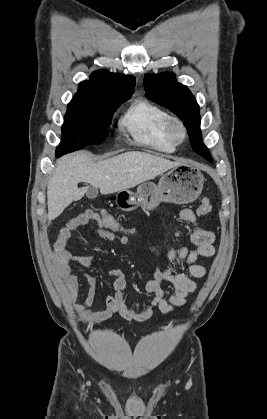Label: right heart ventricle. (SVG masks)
I'll list each match as a JSON object with an SVG mask.
<instances>
[{
    "instance_id": "e07e8e85",
    "label": "right heart ventricle",
    "mask_w": 267,
    "mask_h": 419,
    "mask_svg": "<svg viewBox=\"0 0 267 419\" xmlns=\"http://www.w3.org/2000/svg\"><path fill=\"white\" fill-rule=\"evenodd\" d=\"M169 114L147 99H136L119 120L121 130L131 136L135 143L161 153H172L175 145L164 132Z\"/></svg>"
}]
</instances>
